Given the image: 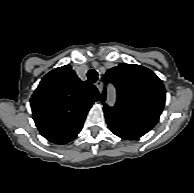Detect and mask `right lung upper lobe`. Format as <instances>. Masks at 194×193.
<instances>
[{
	"instance_id": "right-lung-upper-lobe-1",
	"label": "right lung upper lobe",
	"mask_w": 194,
	"mask_h": 193,
	"mask_svg": "<svg viewBox=\"0 0 194 193\" xmlns=\"http://www.w3.org/2000/svg\"><path fill=\"white\" fill-rule=\"evenodd\" d=\"M99 99L96 87L81 81L71 66L65 65L42 78L30 104L41 135L52 142L80 129L92 104Z\"/></svg>"
}]
</instances>
